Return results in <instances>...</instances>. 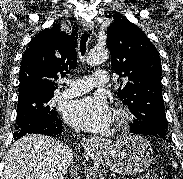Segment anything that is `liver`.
<instances>
[{
    "instance_id": "obj_1",
    "label": "liver",
    "mask_w": 183,
    "mask_h": 179,
    "mask_svg": "<svg viewBox=\"0 0 183 179\" xmlns=\"http://www.w3.org/2000/svg\"><path fill=\"white\" fill-rule=\"evenodd\" d=\"M72 158V150L61 141L26 135L10 148L1 179H64Z\"/></svg>"
}]
</instances>
